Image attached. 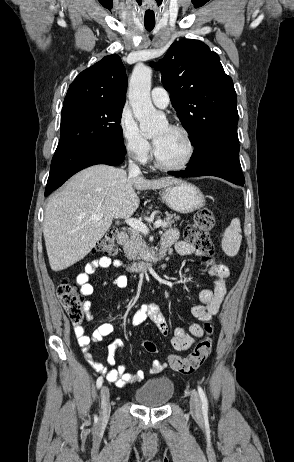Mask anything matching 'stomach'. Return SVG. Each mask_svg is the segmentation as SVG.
<instances>
[{
    "mask_svg": "<svg viewBox=\"0 0 294 462\" xmlns=\"http://www.w3.org/2000/svg\"><path fill=\"white\" fill-rule=\"evenodd\" d=\"M160 195L169 208L179 213H191L205 205L201 190L185 181L167 186Z\"/></svg>",
    "mask_w": 294,
    "mask_h": 462,
    "instance_id": "obj_1",
    "label": "stomach"
}]
</instances>
